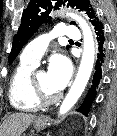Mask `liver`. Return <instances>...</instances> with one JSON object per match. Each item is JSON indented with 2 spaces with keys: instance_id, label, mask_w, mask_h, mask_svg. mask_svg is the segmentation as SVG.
Masks as SVG:
<instances>
[{
  "instance_id": "obj_1",
  "label": "liver",
  "mask_w": 117,
  "mask_h": 136,
  "mask_svg": "<svg viewBox=\"0 0 117 136\" xmlns=\"http://www.w3.org/2000/svg\"><path fill=\"white\" fill-rule=\"evenodd\" d=\"M35 115L13 113L5 118L0 128V136H20L34 120Z\"/></svg>"
}]
</instances>
